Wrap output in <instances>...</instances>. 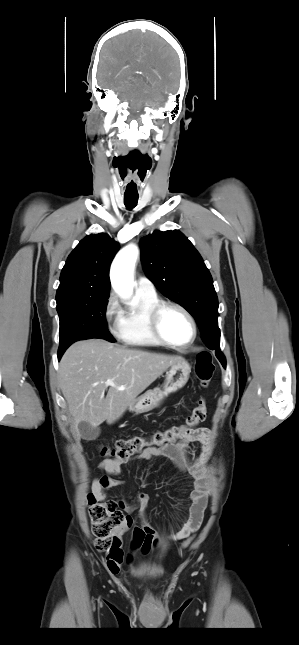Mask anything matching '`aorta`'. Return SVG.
Returning a JSON list of instances; mask_svg holds the SVG:
<instances>
[{"label": "aorta", "instance_id": "aorta-1", "mask_svg": "<svg viewBox=\"0 0 299 645\" xmlns=\"http://www.w3.org/2000/svg\"><path fill=\"white\" fill-rule=\"evenodd\" d=\"M135 245L124 247L115 257L110 272L113 289L121 297L128 298L133 292V270L138 257Z\"/></svg>", "mask_w": 299, "mask_h": 645}]
</instances>
